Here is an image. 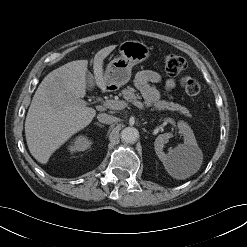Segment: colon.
Returning a JSON list of instances; mask_svg holds the SVG:
<instances>
[{
	"mask_svg": "<svg viewBox=\"0 0 247 247\" xmlns=\"http://www.w3.org/2000/svg\"><path fill=\"white\" fill-rule=\"evenodd\" d=\"M165 70L169 75H178L187 68L186 60L176 54H168L164 60ZM181 86L189 96H197L201 91L199 82L191 77L185 76L181 79Z\"/></svg>",
	"mask_w": 247,
	"mask_h": 247,
	"instance_id": "1",
	"label": "colon"
}]
</instances>
